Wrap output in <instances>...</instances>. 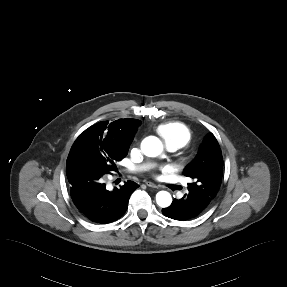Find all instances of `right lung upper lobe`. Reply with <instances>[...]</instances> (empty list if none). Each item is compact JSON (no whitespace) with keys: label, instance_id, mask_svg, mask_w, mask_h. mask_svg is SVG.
I'll return each mask as SVG.
<instances>
[{"label":"right lung upper lobe","instance_id":"obj_1","mask_svg":"<svg viewBox=\"0 0 287 287\" xmlns=\"http://www.w3.org/2000/svg\"><path fill=\"white\" fill-rule=\"evenodd\" d=\"M140 123L141 121L137 119L103 121L92 125L82 134L101 145L109 146L121 152H128Z\"/></svg>","mask_w":287,"mask_h":287}]
</instances>
